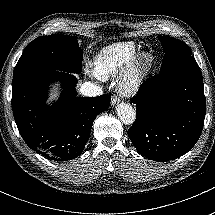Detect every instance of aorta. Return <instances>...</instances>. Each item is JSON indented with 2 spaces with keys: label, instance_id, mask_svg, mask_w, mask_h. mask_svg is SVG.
<instances>
[{
  "label": "aorta",
  "instance_id": "762f6f07",
  "mask_svg": "<svg viewBox=\"0 0 215 215\" xmlns=\"http://www.w3.org/2000/svg\"><path fill=\"white\" fill-rule=\"evenodd\" d=\"M116 113L119 120L127 126L134 124L136 121V111L129 104H118L116 108Z\"/></svg>",
  "mask_w": 215,
  "mask_h": 215
}]
</instances>
